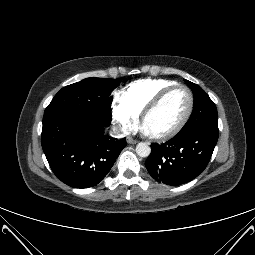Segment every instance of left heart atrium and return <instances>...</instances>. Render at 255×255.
<instances>
[{
    "instance_id": "left-heart-atrium-1",
    "label": "left heart atrium",
    "mask_w": 255,
    "mask_h": 255,
    "mask_svg": "<svg viewBox=\"0 0 255 255\" xmlns=\"http://www.w3.org/2000/svg\"><path fill=\"white\" fill-rule=\"evenodd\" d=\"M144 130H145V132H147L148 133V131L144 128Z\"/></svg>"
}]
</instances>
